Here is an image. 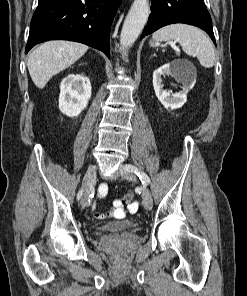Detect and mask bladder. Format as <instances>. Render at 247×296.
Segmentation results:
<instances>
[{
    "mask_svg": "<svg viewBox=\"0 0 247 296\" xmlns=\"http://www.w3.org/2000/svg\"><path fill=\"white\" fill-rule=\"evenodd\" d=\"M136 223L131 220L109 222L102 226V229L106 232H121L133 229Z\"/></svg>",
    "mask_w": 247,
    "mask_h": 296,
    "instance_id": "bladder-1",
    "label": "bladder"
}]
</instances>
